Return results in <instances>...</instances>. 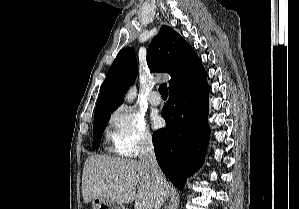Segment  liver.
I'll list each match as a JSON object with an SVG mask.
<instances>
[{
    "label": "liver",
    "instance_id": "6515ba94",
    "mask_svg": "<svg viewBox=\"0 0 299 209\" xmlns=\"http://www.w3.org/2000/svg\"><path fill=\"white\" fill-rule=\"evenodd\" d=\"M170 190L171 185L164 178L165 197ZM82 194L85 203L103 198L119 205L135 201V209H153L159 189L142 162L92 155L84 165Z\"/></svg>",
    "mask_w": 299,
    "mask_h": 209
}]
</instances>
